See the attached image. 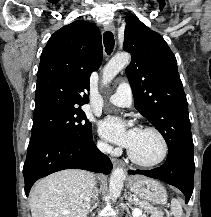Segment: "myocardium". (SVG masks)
<instances>
[{
  "mask_svg": "<svg viewBox=\"0 0 211 217\" xmlns=\"http://www.w3.org/2000/svg\"><path fill=\"white\" fill-rule=\"evenodd\" d=\"M140 130L142 131H150V132H153L155 133L161 140L162 142V145H163V151H162V154L161 156L155 160V161H152V162H144V161H141L139 160L138 158H136L133 153L131 152V150L129 149L128 150V157L129 159L136 165L138 166H141V167H147V168H150V167H156L160 164H162L167 156H168V153H169V145H168V142H167V139L166 137L164 136V134L156 127H153V126H144L142 127Z\"/></svg>",
  "mask_w": 211,
  "mask_h": 217,
  "instance_id": "myocardium-1",
  "label": "myocardium"
}]
</instances>
